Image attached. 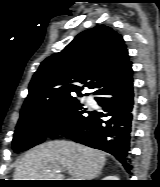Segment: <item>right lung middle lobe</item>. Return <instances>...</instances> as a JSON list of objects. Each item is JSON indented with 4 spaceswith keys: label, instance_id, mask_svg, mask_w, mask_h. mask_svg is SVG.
<instances>
[{
    "label": "right lung middle lobe",
    "instance_id": "dd1d6c3e",
    "mask_svg": "<svg viewBox=\"0 0 160 187\" xmlns=\"http://www.w3.org/2000/svg\"><path fill=\"white\" fill-rule=\"evenodd\" d=\"M90 112L75 98L39 111L21 113L13 137L14 152L42 143L47 135L66 137L87 119Z\"/></svg>",
    "mask_w": 160,
    "mask_h": 187
}]
</instances>
